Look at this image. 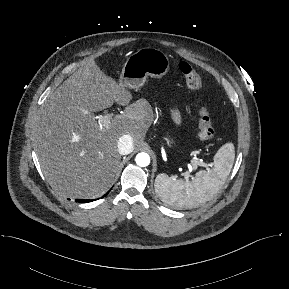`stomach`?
Listing matches in <instances>:
<instances>
[{
    "label": "stomach",
    "instance_id": "obj_1",
    "mask_svg": "<svg viewBox=\"0 0 289 289\" xmlns=\"http://www.w3.org/2000/svg\"><path fill=\"white\" fill-rule=\"evenodd\" d=\"M170 68L167 54L163 51L144 47L131 54L123 65L119 83L127 88L136 89L141 87L148 76L162 78ZM168 147L174 148L175 138L167 134L164 137Z\"/></svg>",
    "mask_w": 289,
    "mask_h": 289
}]
</instances>
